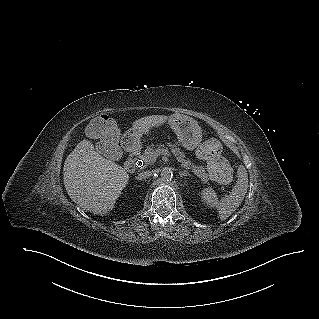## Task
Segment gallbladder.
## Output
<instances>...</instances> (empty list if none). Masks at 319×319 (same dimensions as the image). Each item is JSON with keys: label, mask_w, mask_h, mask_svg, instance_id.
<instances>
[{"label": "gallbladder", "mask_w": 319, "mask_h": 319, "mask_svg": "<svg viewBox=\"0 0 319 319\" xmlns=\"http://www.w3.org/2000/svg\"><path fill=\"white\" fill-rule=\"evenodd\" d=\"M104 154L110 160H115L116 156L113 154V150H118L119 146L117 143H110L108 142L106 147H104Z\"/></svg>", "instance_id": "bac80fb5"}]
</instances>
